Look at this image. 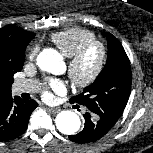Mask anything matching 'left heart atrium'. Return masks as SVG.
I'll return each instance as SVG.
<instances>
[{
  "label": "left heart atrium",
  "mask_w": 153,
  "mask_h": 153,
  "mask_svg": "<svg viewBox=\"0 0 153 153\" xmlns=\"http://www.w3.org/2000/svg\"><path fill=\"white\" fill-rule=\"evenodd\" d=\"M65 90L66 87L63 81L59 79H50L47 83V89L43 92V96L45 99L50 100L52 99L51 91L56 93H63Z\"/></svg>",
  "instance_id": "39dd6f15"
}]
</instances>
